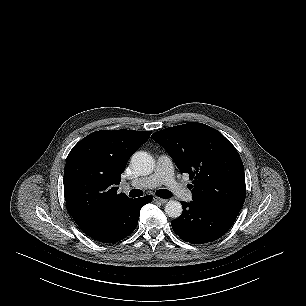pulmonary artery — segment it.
I'll return each instance as SVG.
<instances>
[{
  "mask_svg": "<svg viewBox=\"0 0 306 306\" xmlns=\"http://www.w3.org/2000/svg\"><path fill=\"white\" fill-rule=\"evenodd\" d=\"M162 184L166 185L178 199L185 202L192 201V193L182 183L176 180L172 160L165 154L158 157L155 170L151 175L130 183H125L124 186L155 188Z\"/></svg>",
  "mask_w": 306,
  "mask_h": 306,
  "instance_id": "1",
  "label": "pulmonary artery"
}]
</instances>
